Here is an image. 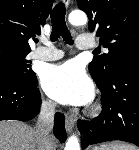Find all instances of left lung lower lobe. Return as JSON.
I'll return each instance as SVG.
<instances>
[{
  "label": "left lung lower lobe",
  "instance_id": "1",
  "mask_svg": "<svg viewBox=\"0 0 139 150\" xmlns=\"http://www.w3.org/2000/svg\"><path fill=\"white\" fill-rule=\"evenodd\" d=\"M98 87L102 93L101 114L93 121H78L82 148L112 140L139 147V54L125 59L109 84Z\"/></svg>",
  "mask_w": 139,
  "mask_h": 150
}]
</instances>
